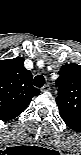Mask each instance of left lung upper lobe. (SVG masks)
Listing matches in <instances>:
<instances>
[{"instance_id":"left-lung-upper-lobe-1","label":"left lung upper lobe","mask_w":81,"mask_h":155,"mask_svg":"<svg viewBox=\"0 0 81 155\" xmlns=\"http://www.w3.org/2000/svg\"><path fill=\"white\" fill-rule=\"evenodd\" d=\"M56 80L58 97L56 102L62 118L81 122V66L65 64Z\"/></svg>"}]
</instances>
